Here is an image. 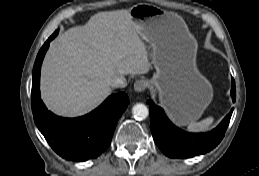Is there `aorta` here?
<instances>
[{"mask_svg":"<svg viewBox=\"0 0 259 176\" xmlns=\"http://www.w3.org/2000/svg\"><path fill=\"white\" fill-rule=\"evenodd\" d=\"M132 113L137 120H144L149 115L147 106L143 103H137L132 108Z\"/></svg>","mask_w":259,"mask_h":176,"instance_id":"762f6f07","label":"aorta"}]
</instances>
